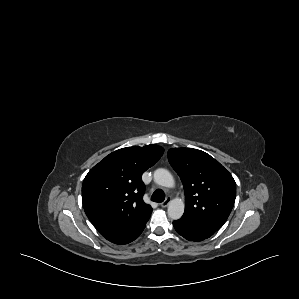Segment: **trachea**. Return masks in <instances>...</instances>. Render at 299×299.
Returning <instances> with one entry per match:
<instances>
[{"label":"trachea","instance_id":"1","mask_svg":"<svg viewBox=\"0 0 299 299\" xmlns=\"http://www.w3.org/2000/svg\"><path fill=\"white\" fill-rule=\"evenodd\" d=\"M151 200L159 203L163 202L165 200V194L161 190H157L152 194Z\"/></svg>","mask_w":299,"mask_h":299}]
</instances>
